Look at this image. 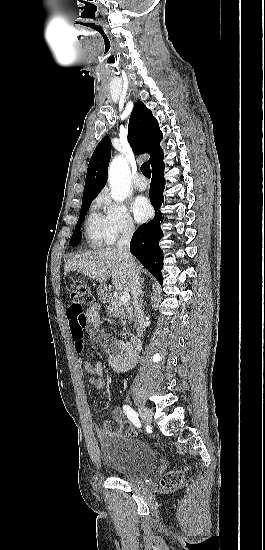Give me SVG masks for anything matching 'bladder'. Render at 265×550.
I'll use <instances>...</instances> for the list:
<instances>
[{
    "label": "bladder",
    "instance_id": "1",
    "mask_svg": "<svg viewBox=\"0 0 265 550\" xmlns=\"http://www.w3.org/2000/svg\"><path fill=\"white\" fill-rule=\"evenodd\" d=\"M102 463L126 480L145 477L157 467L155 452L132 438L117 437L100 449Z\"/></svg>",
    "mask_w": 265,
    "mask_h": 550
}]
</instances>
